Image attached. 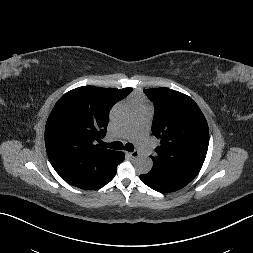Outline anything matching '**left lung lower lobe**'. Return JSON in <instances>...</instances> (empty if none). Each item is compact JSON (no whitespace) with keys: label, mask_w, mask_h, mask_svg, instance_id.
Masks as SVG:
<instances>
[{"label":"left lung lower lobe","mask_w":253,"mask_h":253,"mask_svg":"<svg viewBox=\"0 0 253 253\" xmlns=\"http://www.w3.org/2000/svg\"><path fill=\"white\" fill-rule=\"evenodd\" d=\"M140 179L147 186L161 193L177 191L193 180L182 174L156 168L146 175H140Z\"/></svg>","instance_id":"0a47b994"}]
</instances>
